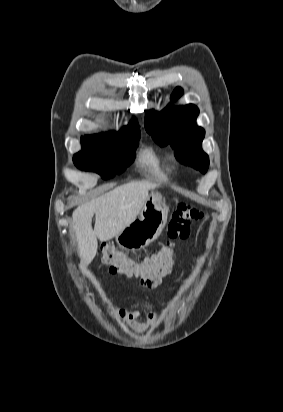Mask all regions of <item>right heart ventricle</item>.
<instances>
[{"instance_id":"1","label":"right heart ventricle","mask_w":283,"mask_h":412,"mask_svg":"<svg viewBox=\"0 0 283 412\" xmlns=\"http://www.w3.org/2000/svg\"><path fill=\"white\" fill-rule=\"evenodd\" d=\"M139 164L153 178L159 181L166 180L170 172V163L163 160L153 148H144L138 158Z\"/></svg>"}]
</instances>
